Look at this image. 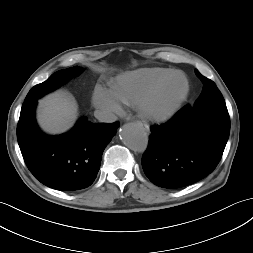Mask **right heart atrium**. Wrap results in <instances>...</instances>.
I'll list each match as a JSON object with an SVG mask.
<instances>
[{
	"label": "right heart atrium",
	"instance_id": "right-heart-atrium-1",
	"mask_svg": "<svg viewBox=\"0 0 253 253\" xmlns=\"http://www.w3.org/2000/svg\"><path fill=\"white\" fill-rule=\"evenodd\" d=\"M92 102L96 108L107 114H119L122 111L120 103L112 92L100 85L96 86L93 91Z\"/></svg>",
	"mask_w": 253,
	"mask_h": 253
}]
</instances>
